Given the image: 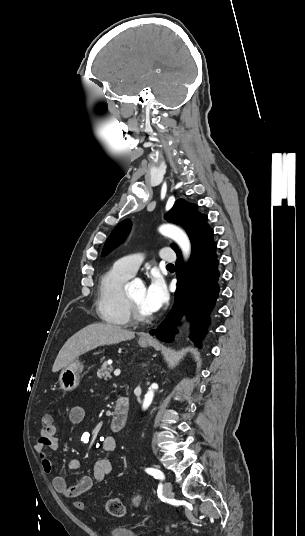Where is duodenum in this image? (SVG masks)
<instances>
[{"label":"duodenum","mask_w":305,"mask_h":536,"mask_svg":"<svg viewBox=\"0 0 305 536\" xmlns=\"http://www.w3.org/2000/svg\"><path fill=\"white\" fill-rule=\"evenodd\" d=\"M128 416L129 402L124 396H118L110 423L111 429L114 431L121 430L127 424Z\"/></svg>","instance_id":"410a0bca"}]
</instances>
